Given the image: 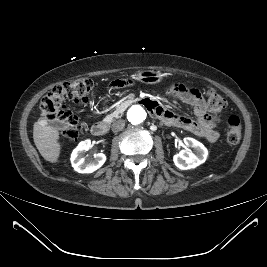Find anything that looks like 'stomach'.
Segmentation results:
<instances>
[{
	"mask_svg": "<svg viewBox=\"0 0 267 267\" xmlns=\"http://www.w3.org/2000/svg\"><path fill=\"white\" fill-rule=\"evenodd\" d=\"M165 75L160 71L142 70L133 75V78L146 84H156L162 81Z\"/></svg>",
	"mask_w": 267,
	"mask_h": 267,
	"instance_id": "1",
	"label": "stomach"
}]
</instances>
